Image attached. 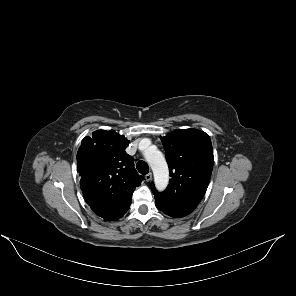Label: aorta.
Masks as SVG:
<instances>
[{"mask_svg": "<svg viewBox=\"0 0 296 296\" xmlns=\"http://www.w3.org/2000/svg\"><path fill=\"white\" fill-rule=\"evenodd\" d=\"M139 148L144 151V156L152 168L154 182L157 190L166 189L169 181V170L163 154L148 139L140 141Z\"/></svg>", "mask_w": 296, "mask_h": 296, "instance_id": "762f6f07", "label": "aorta"}]
</instances>
